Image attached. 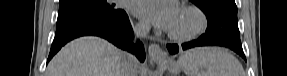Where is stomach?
<instances>
[{"mask_svg": "<svg viewBox=\"0 0 287 76\" xmlns=\"http://www.w3.org/2000/svg\"><path fill=\"white\" fill-rule=\"evenodd\" d=\"M161 65H164L168 71L175 75L177 73H179L182 70V64L179 63L178 61H173V60H168L166 62H158Z\"/></svg>", "mask_w": 287, "mask_h": 76, "instance_id": "0dacf381", "label": "stomach"}]
</instances>
